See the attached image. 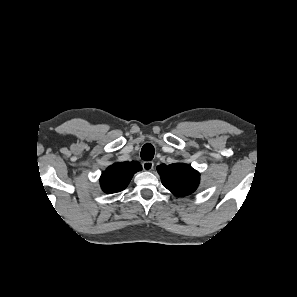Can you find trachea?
<instances>
[{
  "label": "trachea",
  "mask_w": 297,
  "mask_h": 297,
  "mask_svg": "<svg viewBox=\"0 0 297 297\" xmlns=\"http://www.w3.org/2000/svg\"><path fill=\"white\" fill-rule=\"evenodd\" d=\"M154 153L155 150L152 144L147 143L141 149V158L146 161L152 160L154 157Z\"/></svg>",
  "instance_id": "obj_1"
}]
</instances>
